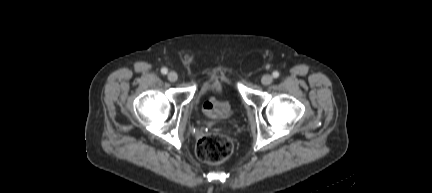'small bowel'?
I'll return each instance as SVG.
<instances>
[{
  "instance_id": "1",
  "label": "small bowel",
  "mask_w": 432,
  "mask_h": 193,
  "mask_svg": "<svg viewBox=\"0 0 432 193\" xmlns=\"http://www.w3.org/2000/svg\"><path fill=\"white\" fill-rule=\"evenodd\" d=\"M204 113L210 118H223L228 114L227 107L215 100H209L203 106Z\"/></svg>"
}]
</instances>
